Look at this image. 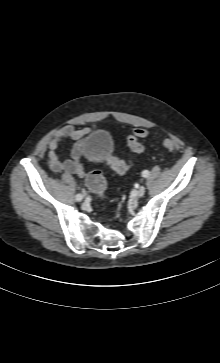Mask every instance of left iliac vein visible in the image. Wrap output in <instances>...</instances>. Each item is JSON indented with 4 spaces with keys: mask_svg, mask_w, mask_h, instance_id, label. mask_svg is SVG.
<instances>
[{
    "mask_svg": "<svg viewBox=\"0 0 220 363\" xmlns=\"http://www.w3.org/2000/svg\"><path fill=\"white\" fill-rule=\"evenodd\" d=\"M145 194V187L144 186H141L137 192H136V197L137 198H140L142 197L143 195Z\"/></svg>",
    "mask_w": 220,
    "mask_h": 363,
    "instance_id": "left-iliac-vein-1",
    "label": "left iliac vein"
}]
</instances>
